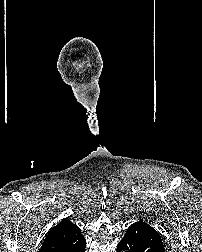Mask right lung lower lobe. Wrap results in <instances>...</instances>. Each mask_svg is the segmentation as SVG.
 <instances>
[{
    "label": "right lung lower lobe",
    "instance_id": "1",
    "mask_svg": "<svg viewBox=\"0 0 202 252\" xmlns=\"http://www.w3.org/2000/svg\"><path fill=\"white\" fill-rule=\"evenodd\" d=\"M85 247H86V242H85V244L83 245L82 249L79 250V252H85Z\"/></svg>",
    "mask_w": 202,
    "mask_h": 252
}]
</instances>
